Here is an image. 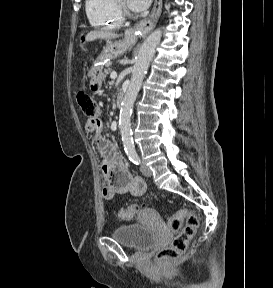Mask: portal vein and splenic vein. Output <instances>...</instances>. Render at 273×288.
Masks as SVG:
<instances>
[{
	"mask_svg": "<svg viewBox=\"0 0 273 288\" xmlns=\"http://www.w3.org/2000/svg\"><path fill=\"white\" fill-rule=\"evenodd\" d=\"M111 79H116L117 73L115 71H112L110 74Z\"/></svg>",
	"mask_w": 273,
	"mask_h": 288,
	"instance_id": "1",
	"label": "portal vein and splenic vein"
}]
</instances>
